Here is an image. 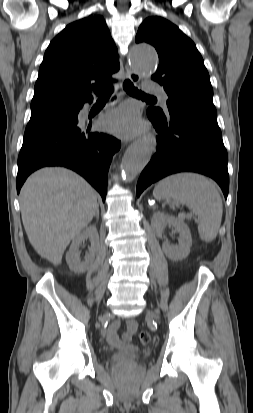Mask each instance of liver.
Listing matches in <instances>:
<instances>
[{
    "label": "liver",
    "instance_id": "obj_1",
    "mask_svg": "<svg viewBox=\"0 0 253 413\" xmlns=\"http://www.w3.org/2000/svg\"><path fill=\"white\" fill-rule=\"evenodd\" d=\"M23 226L36 252L59 265L70 241L96 214L95 190L75 172L47 167L33 173L20 192Z\"/></svg>",
    "mask_w": 253,
    "mask_h": 413
}]
</instances>
